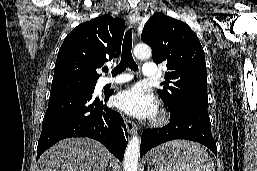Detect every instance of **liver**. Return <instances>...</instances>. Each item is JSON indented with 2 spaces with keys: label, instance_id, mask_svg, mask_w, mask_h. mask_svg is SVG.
<instances>
[{
  "label": "liver",
  "instance_id": "6515ba94",
  "mask_svg": "<svg viewBox=\"0 0 257 171\" xmlns=\"http://www.w3.org/2000/svg\"><path fill=\"white\" fill-rule=\"evenodd\" d=\"M110 154L89 138H67L45 151L38 160V171H106Z\"/></svg>",
  "mask_w": 257,
  "mask_h": 171
}]
</instances>
